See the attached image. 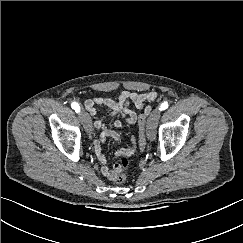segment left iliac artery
I'll return each instance as SVG.
<instances>
[{
    "label": "left iliac artery",
    "instance_id": "obj_1",
    "mask_svg": "<svg viewBox=\"0 0 243 243\" xmlns=\"http://www.w3.org/2000/svg\"><path fill=\"white\" fill-rule=\"evenodd\" d=\"M168 108V103L167 102H163L160 107H159V110H165Z\"/></svg>",
    "mask_w": 243,
    "mask_h": 243
}]
</instances>
